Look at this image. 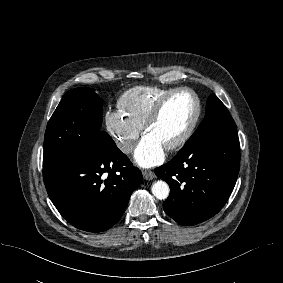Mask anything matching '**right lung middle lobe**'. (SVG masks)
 <instances>
[{
  "label": "right lung middle lobe",
  "instance_id": "obj_1",
  "mask_svg": "<svg viewBox=\"0 0 283 283\" xmlns=\"http://www.w3.org/2000/svg\"><path fill=\"white\" fill-rule=\"evenodd\" d=\"M102 99L91 88L68 91L51 116L44 138V168L111 139L101 130Z\"/></svg>",
  "mask_w": 283,
  "mask_h": 283
}]
</instances>
